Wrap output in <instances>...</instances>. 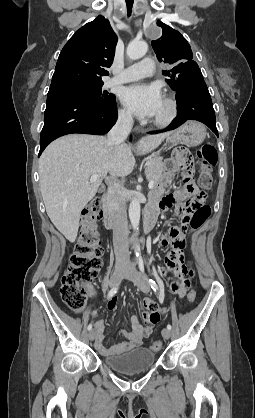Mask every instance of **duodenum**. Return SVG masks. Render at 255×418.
<instances>
[{"label": "duodenum", "mask_w": 255, "mask_h": 418, "mask_svg": "<svg viewBox=\"0 0 255 418\" xmlns=\"http://www.w3.org/2000/svg\"><path fill=\"white\" fill-rule=\"evenodd\" d=\"M103 223L106 229L111 230L115 226V210L113 208L110 196L108 193L103 195ZM159 214L158 209L150 205L145 214L144 229L149 232L154 227L157 216Z\"/></svg>", "instance_id": "obj_1"}]
</instances>
